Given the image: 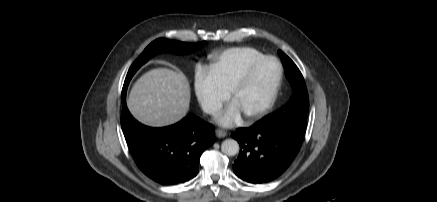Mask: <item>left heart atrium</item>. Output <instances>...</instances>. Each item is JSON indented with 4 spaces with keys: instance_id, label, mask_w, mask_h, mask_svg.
I'll list each match as a JSON object with an SVG mask.
<instances>
[{
    "instance_id": "left-heart-atrium-1",
    "label": "left heart atrium",
    "mask_w": 437,
    "mask_h": 202,
    "mask_svg": "<svg viewBox=\"0 0 437 202\" xmlns=\"http://www.w3.org/2000/svg\"><path fill=\"white\" fill-rule=\"evenodd\" d=\"M243 113L239 105L232 101L217 117V122L225 127L233 126L242 120Z\"/></svg>"
}]
</instances>
